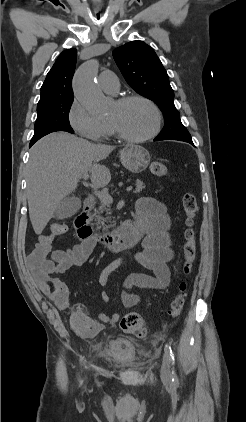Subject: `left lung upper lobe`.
I'll use <instances>...</instances> for the list:
<instances>
[{"instance_id": "1", "label": "left lung upper lobe", "mask_w": 246, "mask_h": 422, "mask_svg": "<svg viewBox=\"0 0 246 422\" xmlns=\"http://www.w3.org/2000/svg\"><path fill=\"white\" fill-rule=\"evenodd\" d=\"M113 57L127 83L140 95L154 101L164 116L158 140H190L174 105L168 74L154 50L143 41H131L113 51Z\"/></svg>"}]
</instances>
